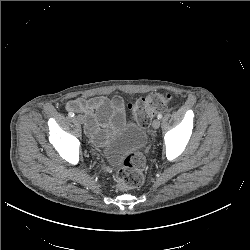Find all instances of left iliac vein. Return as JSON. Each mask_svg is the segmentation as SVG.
<instances>
[{"label":"left iliac vein","instance_id":"obj_1","mask_svg":"<svg viewBox=\"0 0 250 250\" xmlns=\"http://www.w3.org/2000/svg\"><path fill=\"white\" fill-rule=\"evenodd\" d=\"M159 126H160V120H159V119H155V120L152 122V127H153L154 129H157V128H159Z\"/></svg>","mask_w":250,"mask_h":250}]
</instances>
